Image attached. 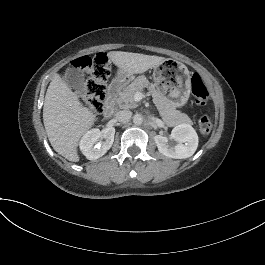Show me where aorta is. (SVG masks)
Returning a JSON list of instances; mask_svg holds the SVG:
<instances>
[{
  "label": "aorta",
  "mask_w": 265,
  "mask_h": 265,
  "mask_svg": "<svg viewBox=\"0 0 265 265\" xmlns=\"http://www.w3.org/2000/svg\"><path fill=\"white\" fill-rule=\"evenodd\" d=\"M142 122H143V117H142V115H140V114H135V115L133 116V123H134L135 125H141Z\"/></svg>",
  "instance_id": "762f6f07"
}]
</instances>
